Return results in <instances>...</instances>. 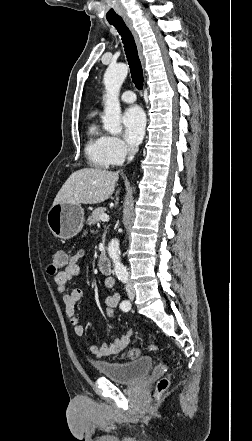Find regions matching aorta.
Returning <instances> with one entry per match:
<instances>
[{"mask_svg":"<svg viewBox=\"0 0 252 441\" xmlns=\"http://www.w3.org/2000/svg\"><path fill=\"white\" fill-rule=\"evenodd\" d=\"M128 74V67L124 63L110 65L104 74V85L106 89L105 109L103 125L107 132L118 135L122 131L120 122L121 107L119 102L120 88ZM109 257L114 266V272L118 277H126L127 269L121 263L119 240L112 239L108 246Z\"/></svg>","mask_w":252,"mask_h":441,"instance_id":"obj_1","label":"aorta"}]
</instances>
